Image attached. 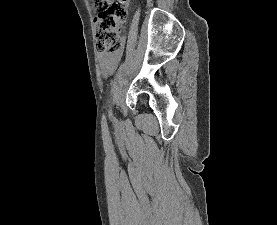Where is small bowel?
<instances>
[{"mask_svg": "<svg viewBox=\"0 0 277 225\" xmlns=\"http://www.w3.org/2000/svg\"><path fill=\"white\" fill-rule=\"evenodd\" d=\"M121 57V52L114 55H101L99 57V66L102 75H104L105 77L111 75L118 66Z\"/></svg>", "mask_w": 277, "mask_h": 225, "instance_id": "c3829d8e", "label": "small bowel"}]
</instances>
